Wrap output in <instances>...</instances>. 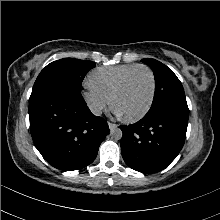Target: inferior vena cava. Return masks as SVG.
<instances>
[{
    "label": "inferior vena cava",
    "instance_id": "inferior-vena-cava-1",
    "mask_svg": "<svg viewBox=\"0 0 220 220\" xmlns=\"http://www.w3.org/2000/svg\"><path fill=\"white\" fill-rule=\"evenodd\" d=\"M90 110L96 116H99L102 114V107L101 106H97V105L91 106Z\"/></svg>",
    "mask_w": 220,
    "mask_h": 220
}]
</instances>
